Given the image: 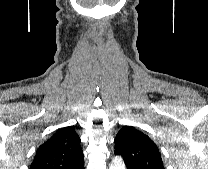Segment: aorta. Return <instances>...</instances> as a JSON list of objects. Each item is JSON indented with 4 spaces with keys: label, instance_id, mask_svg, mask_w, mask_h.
<instances>
[{
    "label": "aorta",
    "instance_id": "aorta-1",
    "mask_svg": "<svg viewBox=\"0 0 208 169\" xmlns=\"http://www.w3.org/2000/svg\"><path fill=\"white\" fill-rule=\"evenodd\" d=\"M109 169H125V163L121 157H115L111 164Z\"/></svg>",
    "mask_w": 208,
    "mask_h": 169
}]
</instances>
